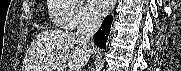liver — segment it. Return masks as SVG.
I'll list each match as a JSON object with an SVG mask.
<instances>
[{
  "label": "liver",
  "mask_w": 181,
  "mask_h": 71,
  "mask_svg": "<svg viewBox=\"0 0 181 71\" xmlns=\"http://www.w3.org/2000/svg\"><path fill=\"white\" fill-rule=\"evenodd\" d=\"M90 54L74 34L63 31L40 33L26 52L23 71H81Z\"/></svg>",
  "instance_id": "1"
}]
</instances>
